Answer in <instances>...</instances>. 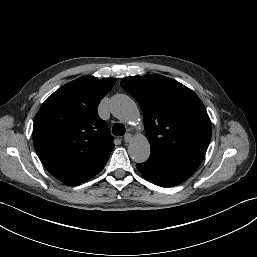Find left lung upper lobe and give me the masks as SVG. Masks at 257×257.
Here are the masks:
<instances>
[{
    "instance_id": "1",
    "label": "left lung upper lobe",
    "mask_w": 257,
    "mask_h": 257,
    "mask_svg": "<svg viewBox=\"0 0 257 257\" xmlns=\"http://www.w3.org/2000/svg\"><path fill=\"white\" fill-rule=\"evenodd\" d=\"M120 83L142 109L150 155L204 158L212 135L211 121L191 89L158 74L127 77Z\"/></svg>"
}]
</instances>
